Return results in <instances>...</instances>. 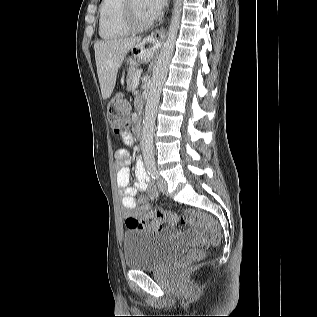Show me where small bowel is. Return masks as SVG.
<instances>
[{"label":"small bowel","mask_w":317,"mask_h":317,"mask_svg":"<svg viewBox=\"0 0 317 317\" xmlns=\"http://www.w3.org/2000/svg\"><path fill=\"white\" fill-rule=\"evenodd\" d=\"M121 137L126 145L129 146L132 144V138L129 132L124 131ZM115 160L118 167L116 182L122 196L121 205L123 215L153 220V226L158 227L154 213L151 211L147 200L137 197L138 192L141 191H148L150 198H155L158 195L157 189L154 186L149 185V177L144 163L140 159L137 160L135 167L136 182L133 186H130L129 153L125 149H120L115 153ZM167 224V227L162 230L170 237H177L178 233L173 227V224ZM196 234V230H189L183 237L187 240H191L195 238Z\"/></svg>","instance_id":"small-bowel-1"}]
</instances>
